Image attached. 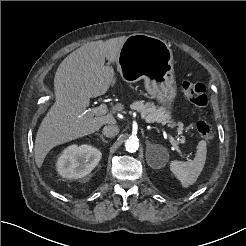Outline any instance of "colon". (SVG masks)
<instances>
[{
  "label": "colon",
  "mask_w": 246,
  "mask_h": 246,
  "mask_svg": "<svg viewBox=\"0 0 246 246\" xmlns=\"http://www.w3.org/2000/svg\"><path fill=\"white\" fill-rule=\"evenodd\" d=\"M182 89L190 102L198 108H204L208 104L206 85L196 80H186L182 84ZM196 130L204 140H210L214 135L213 125L204 118L196 123Z\"/></svg>",
  "instance_id": "1"
}]
</instances>
